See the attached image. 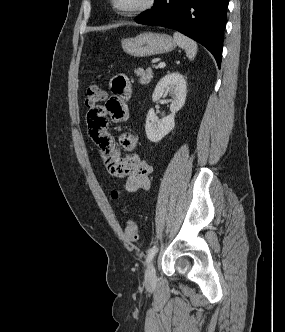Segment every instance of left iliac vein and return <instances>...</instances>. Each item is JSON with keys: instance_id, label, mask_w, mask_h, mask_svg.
Masks as SVG:
<instances>
[{"instance_id": "obj_1", "label": "left iliac vein", "mask_w": 285, "mask_h": 332, "mask_svg": "<svg viewBox=\"0 0 285 332\" xmlns=\"http://www.w3.org/2000/svg\"><path fill=\"white\" fill-rule=\"evenodd\" d=\"M155 282H156V270L153 262H150L145 272V283L147 285H153Z\"/></svg>"}]
</instances>
